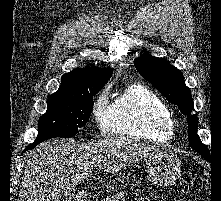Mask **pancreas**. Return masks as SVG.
I'll return each instance as SVG.
<instances>
[{
    "instance_id": "1",
    "label": "pancreas",
    "mask_w": 221,
    "mask_h": 201,
    "mask_svg": "<svg viewBox=\"0 0 221 201\" xmlns=\"http://www.w3.org/2000/svg\"><path fill=\"white\" fill-rule=\"evenodd\" d=\"M104 201H115V196H107Z\"/></svg>"
}]
</instances>
